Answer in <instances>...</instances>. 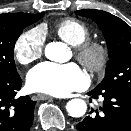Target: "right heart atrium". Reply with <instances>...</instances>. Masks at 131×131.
I'll use <instances>...</instances> for the list:
<instances>
[{
	"instance_id": "d8ad5b80",
	"label": "right heart atrium",
	"mask_w": 131,
	"mask_h": 131,
	"mask_svg": "<svg viewBox=\"0 0 131 131\" xmlns=\"http://www.w3.org/2000/svg\"><path fill=\"white\" fill-rule=\"evenodd\" d=\"M45 33L41 27H34L22 33L14 43V55L22 65L38 60L44 51Z\"/></svg>"
}]
</instances>
